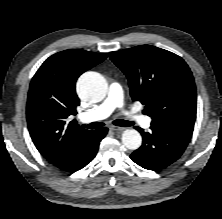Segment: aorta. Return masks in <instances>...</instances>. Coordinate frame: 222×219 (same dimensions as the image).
Listing matches in <instances>:
<instances>
[{"instance_id": "762f6f07", "label": "aorta", "mask_w": 222, "mask_h": 219, "mask_svg": "<svg viewBox=\"0 0 222 219\" xmlns=\"http://www.w3.org/2000/svg\"><path fill=\"white\" fill-rule=\"evenodd\" d=\"M77 92L83 100L96 103L105 98L107 82L97 72H86L78 79ZM122 143L126 148L136 150L141 146L142 137L137 130L127 129L122 133Z\"/></svg>"}]
</instances>
